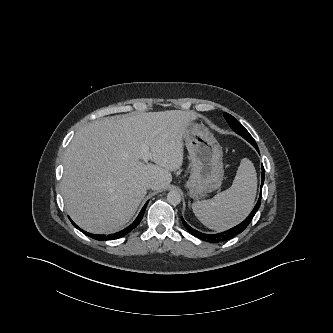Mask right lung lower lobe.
<instances>
[{"instance_id": "98d812e1", "label": "right lung lower lobe", "mask_w": 333, "mask_h": 333, "mask_svg": "<svg viewBox=\"0 0 333 333\" xmlns=\"http://www.w3.org/2000/svg\"><path fill=\"white\" fill-rule=\"evenodd\" d=\"M147 204H148V202H146V204L143 206L141 212L139 213V215L137 216V218L135 219V221L131 225H129L127 228H125V229H123V230H121V231H119V232H117L115 234H109V235L91 234V233H88V232L83 231L82 229H80L71 219H70V221L82 233H84L85 235H87V236H89V237H91L93 239H96V240H99V241L118 239L120 237L125 236L127 233H129L131 230H133L141 222Z\"/></svg>"}]
</instances>
